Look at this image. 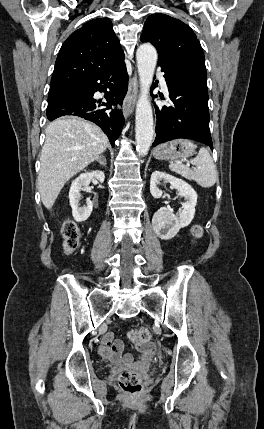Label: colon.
Masks as SVG:
<instances>
[{"mask_svg": "<svg viewBox=\"0 0 264 429\" xmlns=\"http://www.w3.org/2000/svg\"><path fill=\"white\" fill-rule=\"evenodd\" d=\"M194 236L201 234V228L196 226L193 229ZM63 238V247L67 253H72L79 245L81 230L78 224L73 220H66L61 227ZM129 339L137 346L149 343L151 339L150 331L145 327L133 328L128 333ZM117 382L120 388L127 394L137 395L142 390V380L140 376L132 371H121L117 376Z\"/></svg>", "mask_w": 264, "mask_h": 429, "instance_id": "obj_1", "label": "colon"}]
</instances>
